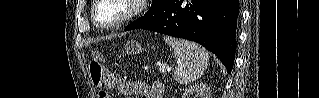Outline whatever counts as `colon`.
<instances>
[{
	"label": "colon",
	"mask_w": 319,
	"mask_h": 98,
	"mask_svg": "<svg viewBox=\"0 0 319 98\" xmlns=\"http://www.w3.org/2000/svg\"><path fill=\"white\" fill-rule=\"evenodd\" d=\"M94 60L89 65L90 76L93 83L96 86L103 87L108 81V75L106 74L102 64V55L95 51L93 52ZM100 98H110L109 94L105 90L99 92Z\"/></svg>",
	"instance_id": "obj_1"
}]
</instances>
